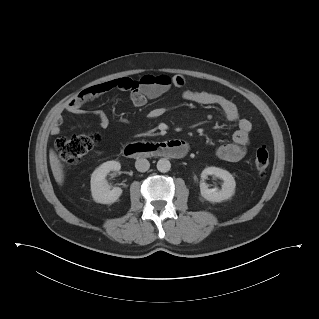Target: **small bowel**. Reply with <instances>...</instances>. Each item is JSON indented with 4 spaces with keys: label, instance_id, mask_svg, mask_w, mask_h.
<instances>
[{
    "label": "small bowel",
    "instance_id": "c3829d8e",
    "mask_svg": "<svg viewBox=\"0 0 319 319\" xmlns=\"http://www.w3.org/2000/svg\"><path fill=\"white\" fill-rule=\"evenodd\" d=\"M128 78L114 79L102 84L94 85L81 91L76 97L70 99L65 107L64 111L70 114L82 115L85 114L83 106L111 90L112 88H119V86ZM171 84L163 91L144 94L142 92H131L130 99L135 106H144L149 99L156 98L166 92L172 85L178 89H181L184 99L200 104L210 105L218 108L225 120L230 123H235L237 128L233 133L232 143L223 144L216 149V155L218 158L225 161H238L244 158L246 155L247 147L249 144L250 133L252 130V124L248 119L240 118L236 105L228 98L206 91H197L188 89L185 87V79L181 75H175L171 79ZM163 113L162 108L156 107L149 111V117L151 119L158 118ZM93 115L96 117L98 125L105 129L109 126L110 120L107 114L103 111H95ZM61 118L58 117L55 124L51 128L53 135H58L61 131Z\"/></svg>",
    "mask_w": 319,
    "mask_h": 319
}]
</instances>
